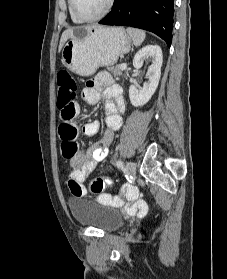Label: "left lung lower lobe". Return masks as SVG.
<instances>
[{"instance_id": "0a47b994", "label": "left lung lower lobe", "mask_w": 227, "mask_h": 279, "mask_svg": "<svg viewBox=\"0 0 227 279\" xmlns=\"http://www.w3.org/2000/svg\"><path fill=\"white\" fill-rule=\"evenodd\" d=\"M173 16L174 0H115L111 12L99 23L151 31L170 47Z\"/></svg>"}]
</instances>
